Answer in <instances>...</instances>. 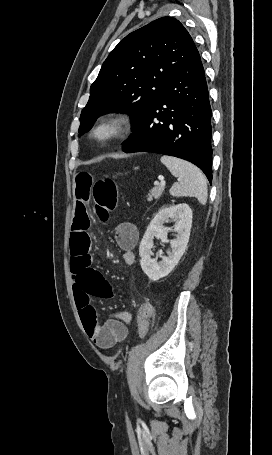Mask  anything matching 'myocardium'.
Instances as JSON below:
<instances>
[{"mask_svg":"<svg viewBox=\"0 0 272 455\" xmlns=\"http://www.w3.org/2000/svg\"><path fill=\"white\" fill-rule=\"evenodd\" d=\"M101 130H108L107 136L99 137ZM133 130V119L126 112H114L101 116L91 127L89 136L99 147H108L123 139Z\"/></svg>","mask_w":272,"mask_h":455,"instance_id":"obj_1","label":"myocardium"}]
</instances>
